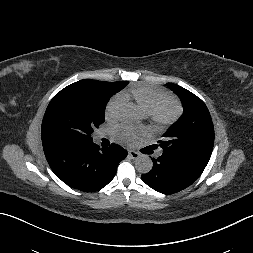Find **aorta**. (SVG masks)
<instances>
[{"mask_svg": "<svg viewBox=\"0 0 253 253\" xmlns=\"http://www.w3.org/2000/svg\"><path fill=\"white\" fill-rule=\"evenodd\" d=\"M120 117L124 123L134 124L141 119V110L129 103L122 107ZM135 167L140 173H148L153 167V162L148 155H141L136 159Z\"/></svg>", "mask_w": 253, "mask_h": 253, "instance_id": "aorta-1", "label": "aorta"}]
</instances>
